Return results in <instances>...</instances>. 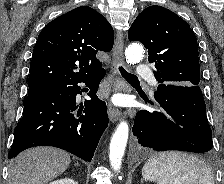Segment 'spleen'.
I'll list each match as a JSON object with an SVG mask.
<instances>
[{"label": "spleen", "instance_id": "obj_1", "mask_svg": "<svg viewBox=\"0 0 224 184\" xmlns=\"http://www.w3.org/2000/svg\"><path fill=\"white\" fill-rule=\"evenodd\" d=\"M143 178L157 184H214L211 169L195 155L162 152L143 166Z\"/></svg>", "mask_w": 224, "mask_h": 184}]
</instances>
